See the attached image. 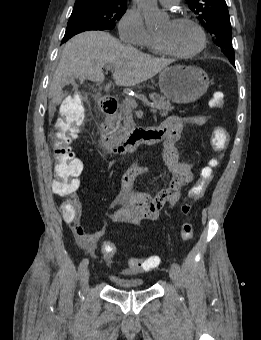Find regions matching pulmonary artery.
Instances as JSON below:
<instances>
[{"instance_id":"1","label":"pulmonary artery","mask_w":261,"mask_h":340,"mask_svg":"<svg viewBox=\"0 0 261 340\" xmlns=\"http://www.w3.org/2000/svg\"><path fill=\"white\" fill-rule=\"evenodd\" d=\"M162 5L165 6H174L178 4L180 0H159Z\"/></svg>"}]
</instances>
